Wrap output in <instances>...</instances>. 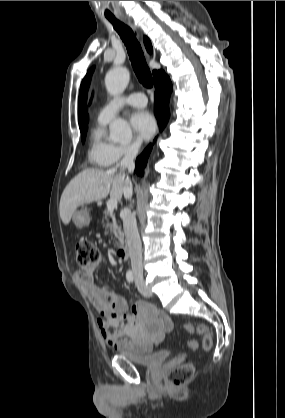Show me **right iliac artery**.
Returning <instances> with one entry per match:
<instances>
[{"instance_id":"82829eb1","label":"right iliac artery","mask_w":285,"mask_h":418,"mask_svg":"<svg viewBox=\"0 0 285 418\" xmlns=\"http://www.w3.org/2000/svg\"><path fill=\"white\" fill-rule=\"evenodd\" d=\"M126 279H127V281L128 282H133V280H134V275H133V272L132 271H127V273H126Z\"/></svg>"}]
</instances>
